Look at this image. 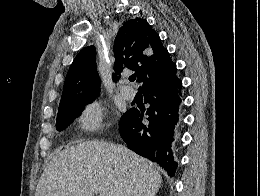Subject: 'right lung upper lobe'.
Listing matches in <instances>:
<instances>
[{
    "mask_svg": "<svg viewBox=\"0 0 260 196\" xmlns=\"http://www.w3.org/2000/svg\"><path fill=\"white\" fill-rule=\"evenodd\" d=\"M113 50L116 56L114 81L119 79L120 72L125 68L136 71L142 86L162 79L176 69L158 34L140 18L122 24ZM95 94H100V78L95 47L88 46L78 53L69 68L58 111L78 99Z\"/></svg>",
    "mask_w": 260,
    "mask_h": 196,
    "instance_id": "1",
    "label": "right lung upper lobe"
}]
</instances>
